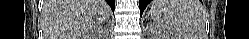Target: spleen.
<instances>
[{"label":"spleen","instance_id":"3e777b00","mask_svg":"<svg viewBox=\"0 0 249 39\" xmlns=\"http://www.w3.org/2000/svg\"><path fill=\"white\" fill-rule=\"evenodd\" d=\"M155 25L172 39H204L206 10L199 0H153Z\"/></svg>","mask_w":249,"mask_h":39}]
</instances>
